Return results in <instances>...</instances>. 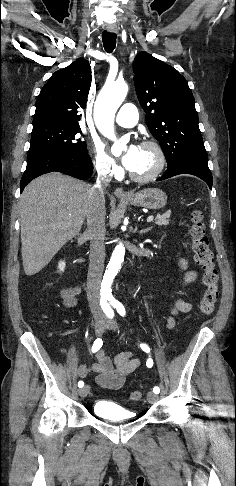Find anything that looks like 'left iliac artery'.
<instances>
[{
	"label": "left iliac artery",
	"instance_id": "left-iliac-artery-1",
	"mask_svg": "<svg viewBox=\"0 0 236 486\" xmlns=\"http://www.w3.org/2000/svg\"><path fill=\"white\" fill-rule=\"evenodd\" d=\"M110 303H111V304H112V306H113V307H114V308L117 310V313H118L120 316H122V317H124V316H125V314H126L125 308H124V306H123V305H122L120 302H118V301H116V300H114V299H110ZM140 346H141V348H142V350H143L144 352H146V353H149V352H150V348H149V346H148V345H146V344H141ZM146 365H147V367L151 368V367L153 366V360H152L151 358H148V360H147V362H146ZM153 392H154V393H156V394H158V393L160 392L159 387L155 386V387L153 388Z\"/></svg>",
	"mask_w": 236,
	"mask_h": 486
}]
</instances>
